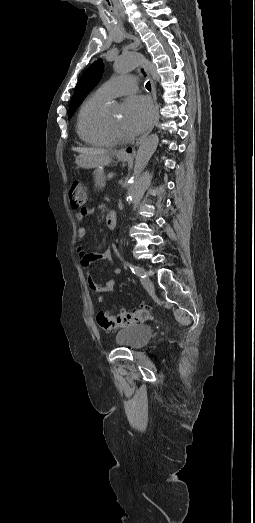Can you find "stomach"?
<instances>
[{"mask_svg": "<svg viewBox=\"0 0 255 523\" xmlns=\"http://www.w3.org/2000/svg\"><path fill=\"white\" fill-rule=\"evenodd\" d=\"M103 158H105V160L101 157H97L95 152H90L87 158L86 156H77L75 164H77L78 168H85V170H90V168H100V166H107V164H110L112 156H103ZM117 158L120 162H128V160L132 158V154L130 150H127L126 148V150L118 152Z\"/></svg>", "mask_w": 255, "mask_h": 523, "instance_id": "1", "label": "stomach"}]
</instances>
